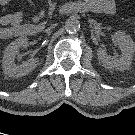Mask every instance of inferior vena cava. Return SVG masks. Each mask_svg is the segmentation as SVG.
Instances as JSON below:
<instances>
[{
  "label": "inferior vena cava",
  "mask_w": 135,
  "mask_h": 135,
  "mask_svg": "<svg viewBox=\"0 0 135 135\" xmlns=\"http://www.w3.org/2000/svg\"><path fill=\"white\" fill-rule=\"evenodd\" d=\"M54 28V26H51V27H49V28H47L46 30H45V32H49L51 29H53Z\"/></svg>",
  "instance_id": "602c4592"
}]
</instances>
